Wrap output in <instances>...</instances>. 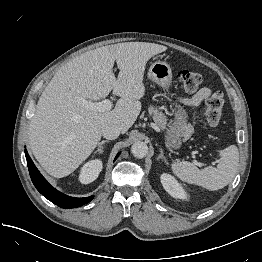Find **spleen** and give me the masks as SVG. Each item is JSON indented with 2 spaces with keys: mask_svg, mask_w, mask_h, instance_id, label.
Instances as JSON below:
<instances>
[{
  "mask_svg": "<svg viewBox=\"0 0 262 262\" xmlns=\"http://www.w3.org/2000/svg\"><path fill=\"white\" fill-rule=\"evenodd\" d=\"M239 161L238 148L230 145L220 151L217 167L209 166L203 170L193 163L182 161L171 165L173 173L183 182L217 191L227 186L234 178Z\"/></svg>",
  "mask_w": 262,
  "mask_h": 262,
  "instance_id": "obj_1",
  "label": "spleen"
}]
</instances>
